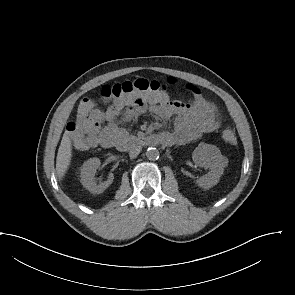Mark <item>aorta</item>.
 Masks as SVG:
<instances>
[{
	"label": "aorta",
	"mask_w": 295,
	"mask_h": 295,
	"mask_svg": "<svg viewBox=\"0 0 295 295\" xmlns=\"http://www.w3.org/2000/svg\"><path fill=\"white\" fill-rule=\"evenodd\" d=\"M159 151L156 148L149 147L146 151V156L149 160H157L159 158Z\"/></svg>",
	"instance_id": "1"
}]
</instances>
